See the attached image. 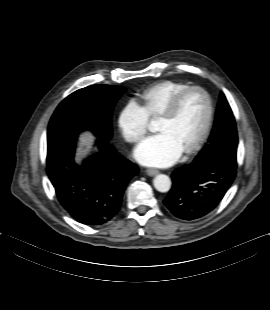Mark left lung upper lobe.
Masks as SVG:
<instances>
[{"label":"left lung upper lobe","instance_id":"obj_1","mask_svg":"<svg viewBox=\"0 0 270 310\" xmlns=\"http://www.w3.org/2000/svg\"><path fill=\"white\" fill-rule=\"evenodd\" d=\"M237 144L235 119L224 94L221 93L209 144L195 160H219L236 163Z\"/></svg>","mask_w":270,"mask_h":310}]
</instances>
